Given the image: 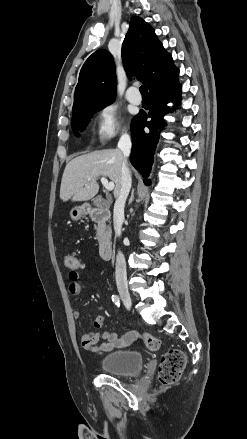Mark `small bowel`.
Returning a JSON list of instances; mask_svg holds the SVG:
<instances>
[{"label":"small bowel","instance_id":"small-bowel-1","mask_svg":"<svg viewBox=\"0 0 247 439\" xmlns=\"http://www.w3.org/2000/svg\"><path fill=\"white\" fill-rule=\"evenodd\" d=\"M69 292L72 295H79L82 291V284L79 279V273L77 270H71L69 272ZM73 316L79 318L80 310L78 308L73 309ZM107 323V315L98 316L94 320V326L101 328ZM100 339L103 340L101 344H98ZM138 339V334L135 332H128L122 337L112 331H105L102 334L96 331H88L80 336L81 346L91 353H106L116 348H124L131 346Z\"/></svg>","mask_w":247,"mask_h":439}]
</instances>
